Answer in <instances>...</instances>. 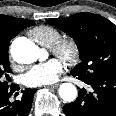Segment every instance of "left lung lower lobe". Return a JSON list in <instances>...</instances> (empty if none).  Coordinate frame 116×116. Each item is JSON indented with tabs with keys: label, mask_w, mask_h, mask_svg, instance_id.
<instances>
[{
	"label": "left lung lower lobe",
	"mask_w": 116,
	"mask_h": 116,
	"mask_svg": "<svg viewBox=\"0 0 116 116\" xmlns=\"http://www.w3.org/2000/svg\"><path fill=\"white\" fill-rule=\"evenodd\" d=\"M71 74L89 85L92 92L81 89L76 101L64 105L66 116H116V75L82 79Z\"/></svg>",
	"instance_id": "obj_1"
}]
</instances>
